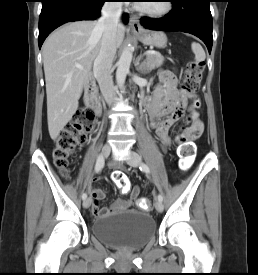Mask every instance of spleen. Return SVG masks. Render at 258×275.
<instances>
[{"label":"spleen","instance_id":"obj_1","mask_svg":"<svg viewBox=\"0 0 258 275\" xmlns=\"http://www.w3.org/2000/svg\"><path fill=\"white\" fill-rule=\"evenodd\" d=\"M191 49L195 54L196 62H203L206 58L205 51L199 43L193 42L191 44Z\"/></svg>","mask_w":258,"mask_h":275}]
</instances>
